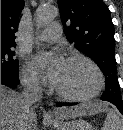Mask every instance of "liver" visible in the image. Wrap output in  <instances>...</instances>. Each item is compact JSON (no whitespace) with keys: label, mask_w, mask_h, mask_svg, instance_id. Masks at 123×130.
Returning <instances> with one entry per match:
<instances>
[{"label":"liver","mask_w":123,"mask_h":130,"mask_svg":"<svg viewBox=\"0 0 123 130\" xmlns=\"http://www.w3.org/2000/svg\"><path fill=\"white\" fill-rule=\"evenodd\" d=\"M98 103L82 104L72 108H58V119L68 120L96 112ZM24 121V100L22 94L1 85V130H21ZM29 130H37V115L34 109L28 113Z\"/></svg>","instance_id":"1"}]
</instances>
